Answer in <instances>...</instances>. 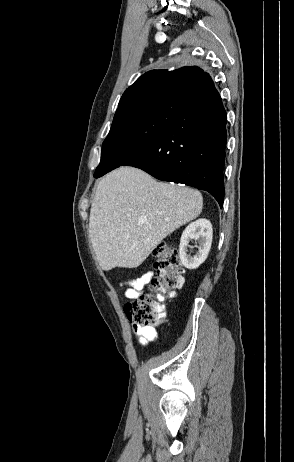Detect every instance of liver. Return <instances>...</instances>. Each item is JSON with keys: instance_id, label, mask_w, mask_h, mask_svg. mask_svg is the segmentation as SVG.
I'll use <instances>...</instances> for the list:
<instances>
[{"instance_id": "6515ba94", "label": "liver", "mask_w": 294, "mask_h": 462, "mask_svg": "<svg viewBox=\"0 0 294 462\" xmlns=\"http://www.w3.org/2000/svg\"><path fill=\"white\" fill-rule=\"evenodd\" d=\"M202 194L157 182L134 167H120L98 183L89 237L99 265L136 268L169 234L202 212Z\"/></svg>"}]
</instances>
